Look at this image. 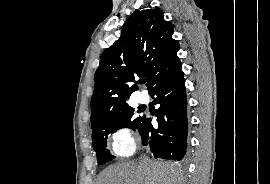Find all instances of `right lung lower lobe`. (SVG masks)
Instances as JSON below:
<instances>
[{"instance_id":"right-lung-lower-lobe-1","label":"right lung lower lobe","mask_w":270,"mask_h":184,"mask_svg":"<svg viewBox=\"0 0 270 184\" xmlns=\"http://www.w3.org/2000/svg\"><path fill=\"white\" fill-rule=\"evenodd\" d=\"M156 96L158 128H153L151 119L144 117L138 128L142 143L155 158L182 160L187 148V99L185 81L180 60L159 78L149 90Z\"/></svg>"}]
</instances>
